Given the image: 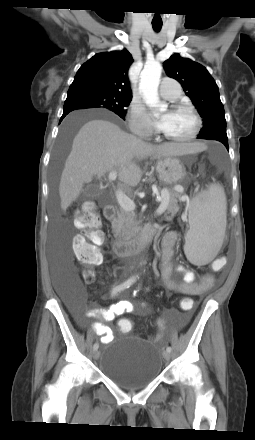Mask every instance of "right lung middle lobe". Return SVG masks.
Here are the masks:
<instances>
[{"label":"right lung middle lobe","mask_w":255,"mask_h":440,"mask_svg":"<svg viewBox=\"0 0 255 440\" xmlns=\"http://www.w3.org/2000/svg\"><path fill=\"white\" fill-rule=\"evenodd\" d=\"M132 96L108 94L102 92H87L67 96L64 103V110L106 108L115 112L122 119L127 110L125 107L131 102Z\"/></svg>","instance_id":"dd1d6c3e"}]
</instances>
